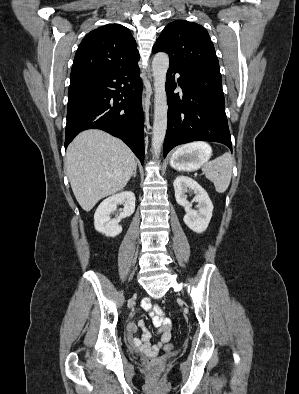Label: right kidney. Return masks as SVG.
<instances>
[{
	"label": "right kidney",
	"mask_w": 299,
	"mask_h": 394,
	"mask_svg": "<svg viewBox=\"0 0 299 394\" xmlns=\"http://www.w3.org/2000/svg\"><path fill=\"white\" fill-rule=\"evenodd\" d=\"M118 204L124 208L117 218L111 219V214L117 209ZM135 210V195L131 191H125L106 198L98 206L94 214V226L96 231L107 237H115L122 232L119 222L131 216Z\"/></svg>",
	"instance_id": "obj_1"
}]
</instances>
